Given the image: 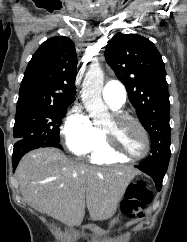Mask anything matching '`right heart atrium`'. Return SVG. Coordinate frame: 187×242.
Returning a JSON list of instances; mask_svg holds the SVG:
<instances>
[{
    "label": "right heart atrium",
    "mask_w": 187,
    "mask_h": 242,
    "mask_svg": "<svg viewBox=\"0 0 187 242\" xmlns=\"http://www.w3.org/2000/svg\"><path fill=\"white\" fill-rule=\"evenodd\" d=\"M63 136L69 151L77 156L87 155L102 140L101 131L79 108H73L66 116Z\"/></svg>",
    "instance_id": "right-heart-atrium-1"
}]
</instances>
